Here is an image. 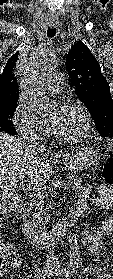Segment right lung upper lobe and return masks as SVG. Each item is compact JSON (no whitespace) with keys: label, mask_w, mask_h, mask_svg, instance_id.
I'll list each match as a JSON object with an SVG mask.
<instances>
[{"label":"right lung upper lobe","mask_w":113,"mask_h":279,"mask_svg":"<svg viewBox=\"0 0 113 279\" xmlns=\"http://www.w3.org/2000/svg\"><path fill=\"white\" fill-rule=\"evenodd\" d=\"M19 52L7 61L3 73L0 75V109L17 105L18 86L13 68L18 59Z\"/></svg>","instance_id":"obj_1"}]
</instances>
